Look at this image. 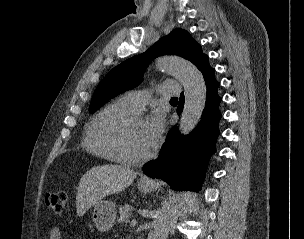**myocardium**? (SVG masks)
Wrapping results in <instances>:
<instances>
[{
	"label": "myocardium",
	"instance_id": "1",
	"mask_svg": "<svg viewBox=\"0 0 304 239\" xmlns=\"http://www.w3.org/2000/svg\"><path fill=\"white\" fill-rule=\"evenodd\" d=\"M135 121H143L140 115L132 114L125 119H123L114 129L112 134V146L116 157L119 162L125 164H140L147 161L151 156L152 152L148 151L146 154L141 156H129L124 152L123 149V139L125 133L131 124Z\"/></svg>",
	"mask_w": 304,
	"mask_h": 239
}]
</instances>
